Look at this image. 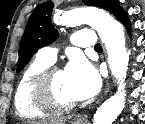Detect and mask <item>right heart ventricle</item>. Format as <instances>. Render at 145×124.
<instances>
[{"label": "right heart ventricle", "instance_id": "e07e8e85", "mask_svg": "<svg viewBox=\"0 0 145 124\" xmlns=\"http://www.w3.org/2000/svg\"><path fill=\"white\" fill-rule=\"evenodd\" d=\"M52 63L37 56L24 70L19 78L14 94L17 114L22 118H41L49 115V111L38 107L33 100V86L38 75Z\"/></svg>", "mask_w": 145, "mask_h": 124}]
</instances>
